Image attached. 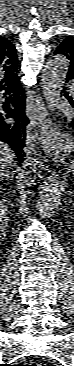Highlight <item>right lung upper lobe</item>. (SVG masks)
Masks as SVG:
<instances>
[{
  "instance_id": "1",
  "label": "right lung upper lobe",
  "mask_w": 74,
  "mask_h": 366,
  "mask_svg": "<svg viewBox=\"0 0 74 366\" xmlns=\"http://www.w3.org/2000/svg\"><path fill=\"white\" fill-rule=\"evenodd\" d=\"M18 66L14 45L8 39L0 37V88L10 87L19 81Z\"/></svg>"
}]
</instances>
